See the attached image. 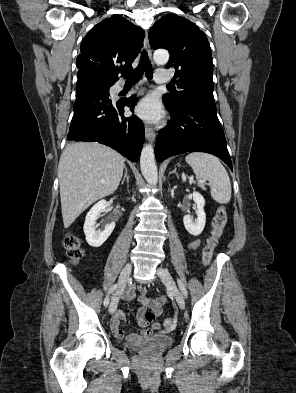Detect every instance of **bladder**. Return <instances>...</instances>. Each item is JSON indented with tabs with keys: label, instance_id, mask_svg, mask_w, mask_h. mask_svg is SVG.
I'll return each mask as SVG.
<instances>
[{
	"label": "bladder",
	"instance_id": "1",
	"mask_svg": "<svg viewBox=\"0 0 296 393\" xmlns=\"http://www.w3.org/2000/svg\"><path fill=\"white\" fill-rule=\"evenodd\" d=\"M173 343V337L167 334H156L149 339L128 341L127 347L142 352H155L164 349Z\"/></svg>",
	"mask_w": 296,
	"mask_h": 393
}]
</instances>
